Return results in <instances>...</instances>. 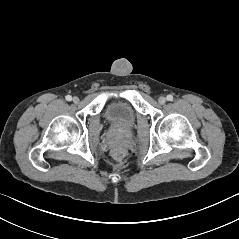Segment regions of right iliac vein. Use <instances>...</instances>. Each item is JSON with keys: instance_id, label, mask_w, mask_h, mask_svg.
<instances>
[{"instance_id": "1", "label": "right iliac vein", "mask_w": 239, "mask_h": 239, "mask_svg": "<svg viewBox=\"0 0 239 239\" xmlns=\"http://www.w3.org/2000/svg\"><path fill=\"white\" fill-rule=\"evenodd\" d=\"M73 102H74V103H78V102H79V98L75 96V97L73 98Z\"/></svg>"}]
</instances>
